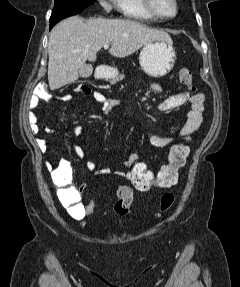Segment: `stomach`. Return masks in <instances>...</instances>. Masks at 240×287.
I'll list each match as a JSON object with an SVG mask.
<instances>
[{"mask_svg": "<svg viewBox=\"0 0 240 287\" xmlns=\"http://www.w3.org/2000/svg\"><path fill=\"white\" fill-rule=\"evenodd\" d=\"M176 53L172 41H153L143 46L139 63L143 71L151 77H162L174 67ZM116 73V70H113Z\"/></svg>", "mask_w": 240, "mask_h": 287, "instance_id": "stomach-1", "label": "stomach"}]
</instances>
